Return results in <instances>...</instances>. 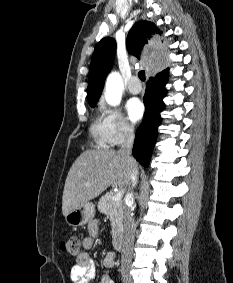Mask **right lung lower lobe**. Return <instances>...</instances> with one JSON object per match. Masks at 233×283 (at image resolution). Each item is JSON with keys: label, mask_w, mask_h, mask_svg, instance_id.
I'll return each mask as SVG.
<instances>
[{"label": "right lung lower lobe", "mask_w": 233, "mask_h": 283, "mask_svg": "<svg viewBox=\"0 0 233 283\" xmlns=\"http://www.w3.org/2000/svg\"><path fill=\"white\" fill-rule=\"evenodd\" d=\"M168 80V69L150 78L144 95L145 116L137 130L133 146V156L145 167H148L151 153L157 137V128L161 123L159 113L164 109L162 99L167 93L165 84Z\"/></svg>", "instance_id": "1"}]
</instances>
